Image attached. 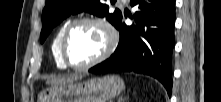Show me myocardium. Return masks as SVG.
Listing matches in <instances>:
<instances>
[{"label": "myocardium", "mask_w": 221, "mask_h": 102, "mask_svg": "<svg viewBox=\"0 0 221 102\" xmlns=\"http://www.w3.org/2000/svg\"><path fill=\"white\" fill-rule=\"evenodd\" d=\"M82 23H89V24H93V25L100 27L105 33L106 44H105L103 51L96 58H94L93 60H91L90 62L86 64L75 65V64H72L67 58L66 44H67V39L71 30L76 25L82 24ZM117 42H118L117 32L115 28L113 27V25L106 18L101 17V16H96V15L80 16L70 21L64 29V32L60 41L61 60L66 67H69L71 69L87 70L105 61L115 50Z\"/></svg>", "instance_id": "obj_1"}]
</instances>
